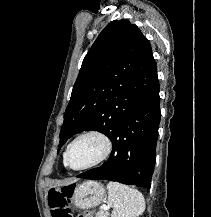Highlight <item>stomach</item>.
I'll use <instances>...</instances> for the list:
<instances>
[{"instance_id": "stomach-1", "label": "stomach", "mask_w": 211, "mask_h": 217, "mask_svg": "<svg viewBox=\"0 0 211 217\" xmlns=\"http://www.w3.org/2000/svg\"><path fill=\"white\" fill-rule=\"evenodd\" d=\"M104 186L97 181H87L74 187L73 203L81 209H88L99 205L104 200Z\"/></svg>"}]
</instances>
